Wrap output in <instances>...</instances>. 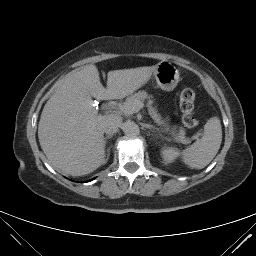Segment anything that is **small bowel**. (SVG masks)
Here are the masks:
<instances>
[{
	"instance_id": "1",
	"label": "small bowel",
	"mask_w": 256,
	"mask_h": 256,
	"mask_svg": "<svg viewBox=\"0 0 256 256\" xmlns=\"http://www.w3.org/2000/svg\"><path fill=\"white\" fill-rule=\"evenodd\" d=\"M156 119H157V120H160V117L156 116Z\"/></svg>"
}]
</instances>
